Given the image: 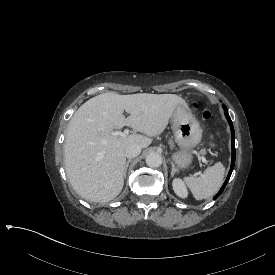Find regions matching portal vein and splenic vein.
Masks as SVG:
<instances>
[{
    "label": "portal vein and splenic vein",
    "mask_w": 275,
    "mask_h": 275,
    "mask_svg": "<svg viewBox=\"0 0 275 275\" xmlns=\"http://www.w3.org/2000/svg\"><path fill=\"white\" fill-rule=\"evenodd\" d=\"M128 134H129V130L128 129H125L124 132H120V131L112 132V135H114V136H118L119 135V136L124 137V136H126ZM201 159H202L203 163H206L205 157H201ZM198 174H200V173H198Z\"/></svg>",
    "instance_id": "portal-vein-and-splenic-vein-1"
}]
</instances>
